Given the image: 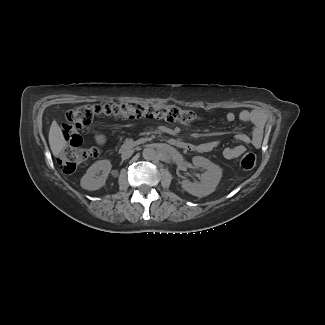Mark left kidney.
<instances>
[{
	"mask_svg": "<svg viewBox=\"0 0 325 325\" xmlns=\"http://www.w3.org/2000/svg\"><path fill=\"white\" fill-rule=\"evenodd\" d=\"M192 162L196 168L201 167L205 172L201 174L200 182L198 183H192L187 179L183 180L181 183L182 188L191 195L199 198L211 194L216 189L222 177L221 168L202 156H194Z\"/></svg>",
	"mask_w": 325,
	"mask_h": 325,
	"instance_id": "left-kidney-1",
	"label": "left kidney"
}]
</instances>
